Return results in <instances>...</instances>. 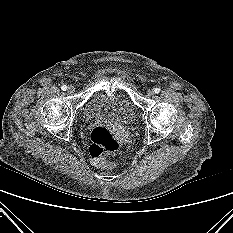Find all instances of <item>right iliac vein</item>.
Instances as JSON below:
<instances>
[{
	"label": "right iliac vein",
	"instance_id": "63e3f726",
	"mask_svg": "<svg viewBox=\"0 0 233 233\" xmlns=\"http://www.w3.org/2000/svg\"><path fill=\"white\" fill-rule=\"evenodd\" d=\"M67 90L69 93H73L75 89L73 86H69Z\"/></svg>",
	"mask_w": 233,
	"mask_h": 233
}]
</instances>
